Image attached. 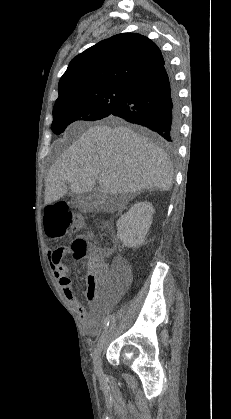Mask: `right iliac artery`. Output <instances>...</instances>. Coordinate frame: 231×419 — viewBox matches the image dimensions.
<instances>
[{
  "label": "right iliac artery",
  "instance_id": "right-iliac-artery-1",
  "mask_svg": "<svg viewBox=\"0 0 231 419\" xmlns=\"http://www.w3.org/2000/svg\"><path fill=\"white\" fill-rule=\"evenodd\" d=\"M109 323H110V318L109 317H106L105 320H104V328H105V330L108 328Z\"/></svg>",
  "mask_w": 231,
  "mask_h": 419
}]
</instances>
